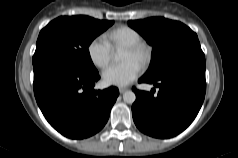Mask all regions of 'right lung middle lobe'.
<instances>
[{
    "label": "right lung middle lobe",
    "instance_id": "1",
    "mask_svg": "<svg viewBox=\"0 0 238 158\" xmlns=\"http://www.w3.org/2000/svg\"><path fill=\"white\" fill-rule=\"evenodd\" d=\"M114 21L88 16H61L44 27L38 37L33 61L45 56L58 58L85 73L96 70L88 47Z\"/></svg>",
    "mask_w": 238,
    "mask_h": 158
}]
</instances>
